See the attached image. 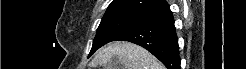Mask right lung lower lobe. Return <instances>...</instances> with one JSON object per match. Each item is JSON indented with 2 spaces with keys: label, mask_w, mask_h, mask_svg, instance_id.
Instances as JSON below:
<instances>
[{
  "label": "right lung lower lobe",
  "mask_w": 246,
  "mask_h": 69,
  "mask_svg": "<svg viewBox=\"0 0 246 69\" xmlns=\"http://www.w3.org/2000/svg\"><path fill=\"white\" fill-rule=\"evenodd\" d=\"M142 21L113 41L124 40L140 45L157 57L168 69H180L178 39L173 15L167 3L148 10Z\"/></svg>",
  "instance_id": "obj_1"
}]
</instances>
